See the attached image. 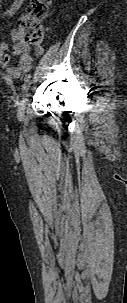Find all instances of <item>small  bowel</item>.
<instances>
[{
    "mask_svg": "<svg viewBox=\"0 0 127 303\" xmlns=\"http://www.w3.org/2000/svg\"><path fill=\"white\" fill-rule=\"evenodd\" d=\"M0 0V6H1ZM25 0H13L11 5L2 12V17H10L14 15L24 4ZM1 26V20H0ZM12 36L15 37L16 33L13 31ZM9 50V44L0 39V63L6 68V73L13 79L20 78L23 74L27 73L33 66V58L29 54L28 46L22 43H16L12 49V55L7 53ZM43 53V48L38 47L36 49V55L39 56ZM12 56L18 58L16 65H10Z\"/></svg>",
    "mask_w": 127,
    "mask_h": 303,
    "instance_id": "1",
    "label": "small bowel"
}]
</instances>
